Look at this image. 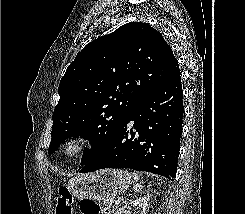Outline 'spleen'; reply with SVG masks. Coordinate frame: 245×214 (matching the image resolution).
Instances as JSON below:
<instances>
[{
	"label": "spleen",
	"instance_id": "3e777b00",
	"mask_svg": "<svg viewBox=\"0 0 245 214\" xmlns=\"http://www.w3.org/2000/svg\"><path fill=\"white\" fill-rule=\"evenodd\" d=\"M131 176L134 180L138 181L140 179V175L136 173H131ZM134 192H139L142 189V185L140 183H136L133 185Z\"/></svg>",
	"mask_w": 245,
	"mask_h": 214
}]
</instances>
